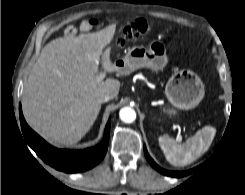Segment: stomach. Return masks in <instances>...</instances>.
Returning a JSON list of instances; mask_svg holds the SVG:
<instances>
[{"mask_svg": "<svg viewBox=\"0 0 245 195\" xmlns=\"http://www.w3.org/2000/svg\"><path fill=\"white\" fill-rule=\"evenodd\" d=\"M165 51V46L160 42L153 43L149 48L135 46L128 50L124 58L117 60L115 65L121 75L130 74L142 67L159 71L166 64ZM204 93V84L199 76L187 69L174 73L165 87V94L171 105L184 110L196 107L203 99ZM167 112L176 114L173 109L167 110Z\"/></svg>", "mask_w": 245, "mask_h": 195, "instance_id": "1", "label": "stomach"}]
</instances>
